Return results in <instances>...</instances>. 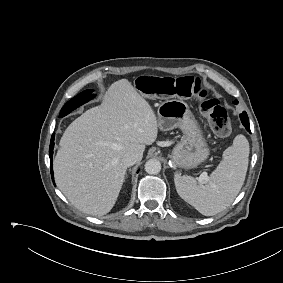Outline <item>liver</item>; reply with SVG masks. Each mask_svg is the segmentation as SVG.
<instances>
[{
    "label": "liver",
    "mask_w": 283,
    "mask_h": 283,
    "mask_svg": "<svg viewBox=\"0 0 283 283\" xmlns=\"http://www.w3.org/2000/svg\"><path fill=\"white\" fill-rule=\"evenodd\" d=\"M157 135L158 120L149 103L127 79L114 82L100 106L65 130L53 163L58 188L81 211L108 213L125 179L123 156L134 152L141 161L145 145Z\"/></svg>",
    "instance_id": "6515ba94"
}]
</instances>
